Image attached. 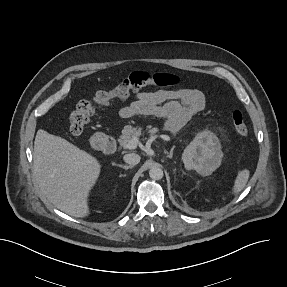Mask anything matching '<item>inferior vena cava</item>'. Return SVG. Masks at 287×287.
<instances>
[{"label": "inferior vena cava", "mask_w": 287, "mask_h": 287, "mask_svg": "<svg viewBox=\"0 0 287 287\" xmlns=\"http://www.w3.org/2000/svg\"><path fill=\"white\" fill-rule=\"evenodd\" d=\"M124 161L130 165H136L140 162V156L135 153H129L124 155L123 157Z\"/></svg>", "instance_id": "1"}]
</instances>
